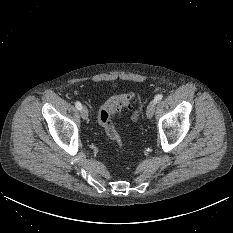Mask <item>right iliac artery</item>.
Instances as JSON below:
<instances>
[{"mask_svg":"<svg viewBox=\"0 0 233 233\" xmlns=\"http://www.w3.org/2000/svg\"><path fill=\"white\" fill-rule=\"evenodd\" d=\"M75 106H76V108H77L78 110H81V108H82L81 103L78 102V101L75 102Z\"/></svg>","mask_w":233,"mask_h":233,"instance_id":"right-iliac-artery-1","label":"right iliac artery"}]
</instances>
